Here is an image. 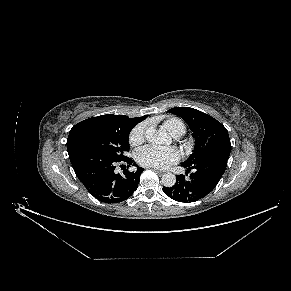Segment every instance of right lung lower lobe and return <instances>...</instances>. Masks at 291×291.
I'll list each match as a JSON object with an SVG mask.
<instances>
[{"mask_svg":"<svg viewBox=\"0 0 291 291\" xmlns=\"http://www.w3.org/2000/svg\"><path fill=\"white\" fill-rule=\"evenodd\" d=\"M72 167L92 196L104 203H118L128 199L137 189L140 175L144 171L138 167L135 172L115 173L118 163L132 164L130 158L117 160L104 153L80 148L69 153Z\"/></svg>","mask_w":291,"mask_h":291,"instance_id":"98d812e1","label":"right lung lower lobe"}]
</instances>
